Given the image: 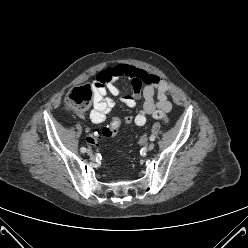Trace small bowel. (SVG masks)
<instances>
[{"mask_svg": "<svg viewBox=\"0 0 248 248\" xmlns=\"http://www.w3.org/2000/svg\"><path fill=\"white\" fill-rule=\"evenodd\" d=\"M121 78L131 80L132 94L123 99L127 107L133 108L141 96L144 98L142 108L133 118L135 125L143 126L147 117L156 111L165 113L171 110L168 93L172 85L166 78L128 64H115L100 71L94 82V105L90 112L93 123L98 124L106 120L115 105L114 100L106 94L109 92L114 96L120 95L118 80Z\"/></svg>", "mask_w": 248, "mask_h": 248, "instance_id": "small-bowel-1", "label": "small bowel"}]
</instances>
